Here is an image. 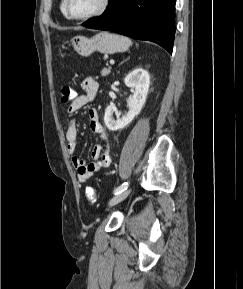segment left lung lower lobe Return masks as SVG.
<instances>
[{"instance_id": "1", "label": "left lung lower lobe", "mask_w": 243, "mask_h": 289, "mask_svg": "<svg viewBox=\"0 0 243 289\" xmlns=\"http://www.w3.org/2000/svg\"><path fill=\"white\" fill-rule=\"evenodd\" d=\"M176 0H108L105 12L84 22L92 29L109 30L157 43L172 53Z\"/></svg>"}]
</instances>
